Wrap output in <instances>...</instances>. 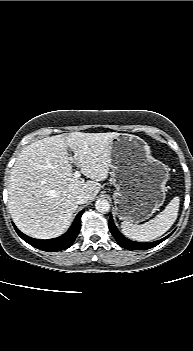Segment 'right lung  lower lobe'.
Masks as SVG:
<instances>
[{"label": "right lung lower lobe", "mask_w": 193, "mask_h": 351, "mask_svg": "<svg viewBox=\"0 0 193 351\" xmlns=\"http://www.w3.org/2000/svg\"><path fill=\"white\" fill-rule=\"evenodd\" d=\"M82 213L83 211H80L78 213L72 226L64 235L55 239H49V240L34 239L23 234L20 230H18L15 227L14 224L13 226L16 232L18 233V235L31 246L47 252H57V251L65 250L73 244L80 230V219H81Z\"/></svg>", "instance_id": "obj_1"}]
</instances>
